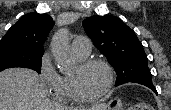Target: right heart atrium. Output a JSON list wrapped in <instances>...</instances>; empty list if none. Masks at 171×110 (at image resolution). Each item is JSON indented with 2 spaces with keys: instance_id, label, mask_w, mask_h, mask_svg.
I'll return each mask as SVG.
<instances>
[{
  "instance_id": "right-heart-atrium-1",
  "label": "right heart atrium",
  "mask_w": 171,
  "mask_h": 110,
  "mask_svg": "<svg viewBox=\"0 0 171 110\" xmlns=\"http://www.w3.org/2000/svg\"><path fill=\"white\" fill-rule=\"evenodd\" d=\"M39 77L45 87L53 93L60 81V75L52 64L49 53H45L40 60Z\"/></svg>"
}]
</instances>
